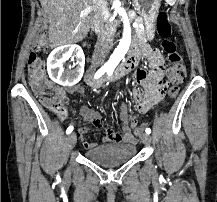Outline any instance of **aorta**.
I'll return each instance as SVG.
<instances>
[{
  "instance_id": "obj_1",
  "label": "aorta",
  "mask_w": 217,
  "mask_h": 202,
  "mask_svg": "<svg viewBox=\"0 0 217 202\" xmlns=\"http://www.w3.org/2000/svg\"><path fill=\"white\" fill-rule=\"evenodd\" d=\"M113 8L116 12V14H119L123 20V36L119 42V46H117L116 50H114L111 60H114V62H120L122 58H124L125 54H127L130 44H131V26L129 22V18L126 14V10L124 8H121V2L119 0H114L113 2Z\"/></svg>"
}]
</instances>
